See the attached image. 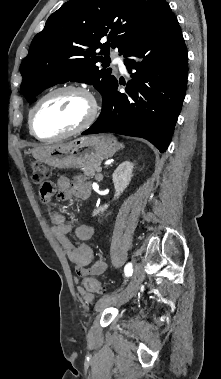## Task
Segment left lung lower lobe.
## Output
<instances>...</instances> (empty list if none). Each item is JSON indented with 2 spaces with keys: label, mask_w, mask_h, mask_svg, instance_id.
Masks as SVG:
<instances>
[{
  "label": "left lung lower lobe",
  "mask_w": 221,
  "mask_h": 379,
  "mask_svg": "<svg viewBox=\"0 0 221 379\" xmlns=\"http://www.w3.org/2000/svg\"><path fill=\"white\" fill-rule=\"evenodd\" d=\"M132 80L120 93L117 79L102 95L97 121L82 134L112 132L147 139L163 153L185 97L188 55L182 32L164 2L149 30L124 53ZM121 84V83H120Z\"/></svg>",
  "instance_id": "1"
}]
</instances>
